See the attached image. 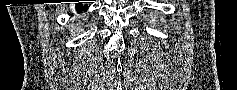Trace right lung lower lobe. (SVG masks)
Masks as SVG:
<instances>
[{"label":"right lung lower lobe","mask_w":237,"mask_h":90,"mask_svg":"<svg viewBox=\"0 0 237 90\" xmlns=\"http://www.w3.org/2000/svg\"><path fill=\"white\" fill-rule=\"evenodd\" d=\"M88 9L87 5H82V3H77L76 4V10L78 13L82 12V11H86Z\"/></svg>","instance_id":"obj_1"}]
</instances>
